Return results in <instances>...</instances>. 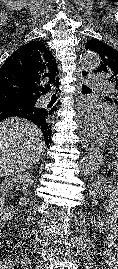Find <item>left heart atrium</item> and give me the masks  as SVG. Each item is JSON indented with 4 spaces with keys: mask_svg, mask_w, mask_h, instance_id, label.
<instances>
[{
    "mask_svg": "<svg viewBox=\"0 0 118 269\" xmlns=\"http://www.w3.org/2000/svg\"><path fill=\"white\" fill-rule=\"evenodd\" d=\"M79 126L90 135H103L110 131L112 114L110 110L94 103L79 106L76 114Z\"/></svg>",
    "mask_w": 118,
    "mask_h": 269,
    "instance_id": "1",
    "label": "left heart atrium"
}]
</instances>
